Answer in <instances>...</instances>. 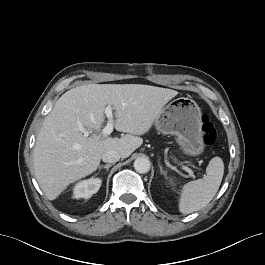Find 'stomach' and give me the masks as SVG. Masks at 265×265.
<instances>
[{
	"instance_id": "stomach-1",
	"label": "stomach",
	"mask_w": 265,
	"mask_h": 265,
	"mask_svg": "<svg viewBox=\"0 0 265 265\" xmlns=\"http://www.w3.org/2000/svg\"><path fill=\"white\" fill-rule=\"evenodd\" d=\"M202 124L200 107L186 97L172 100L155 120L156 128L163 134L175 135L183 152L190 156L204 151Z\"/></svg>"
}]
</instances>
